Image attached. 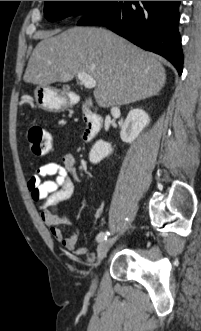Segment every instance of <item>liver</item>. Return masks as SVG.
Returning <instances> with one entry per match:
<instances>
[{
  "mask_svg": "<svg viewBox=\"0 0 201 331\" xmlns=\"http://www.w3.org/2000/svg\"><path fill=\"white\" fill-rule=\"evenodd\" d=\"M85 72L96 81L94 98L108 108L157 95L165 68L154 55L102 28L74 27L47 33L30 56L23 80L38 86L69 82ZM85 104L92 107V99Z\"/></svg>",
  "mask_w": 201,
  "mask_h": 331,
  "instance_id": "liver-1",
  "label": "liver"
}]
</instances>
